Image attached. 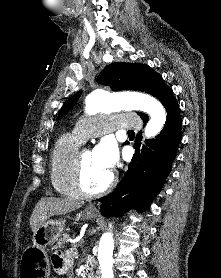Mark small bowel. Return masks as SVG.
<instances>
[{
	"label": "small bowel",
	"mask_w": 221,
	"mask_h": 278,
	"mask_svg": "<svg viewBox=\"0 0 221 278\" xmlns=\"http://www.w3.org/2000/svg\"><path fill=\"white\" fill-rule=\"evenodd\" d=\"M76 252L74 250H67L64 252H56L52 255V266L58 277L65 276L67 278L73 277L72 266ZM57 278V277H55Z\"/></svg>",
	"instance_id": "c3829d8e"
}]
</instances>
